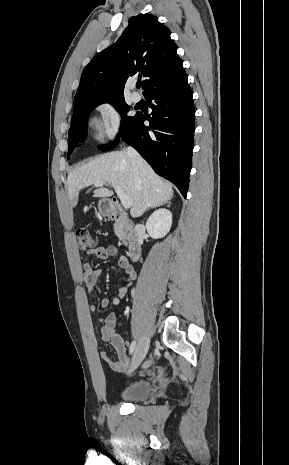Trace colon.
<instances>
[{"label":"colon","mask_w":289,"mask_h":465,"mask_svg":"<svg viewBox=\"0 0 289 465\" xmlns=\"http://www.w3.org/2000/svg\"><path fill=\"white\" fill-rule=\"evenodd\" d=\"M78 247L82 251H90L95 248V240L87 227H80L76 231Z\"/></svg>","instance_id":"colon-1"}]
</instances>
